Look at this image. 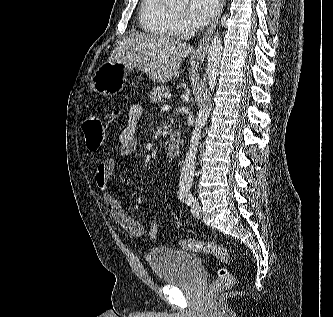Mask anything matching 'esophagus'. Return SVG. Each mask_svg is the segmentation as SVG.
Returning a JSON list of instances; mask_svg holds the SVG:
<instances>
[{"mask_svg":"<svg viewBox=\"0 0 333 317\" xmlns=\"http://www.w3.org/2000/svg\"><path fill=\"white\" fill-rule=\"evenodd\" d=\"M223 5H224V0H219V10L217 13V16L215 17L213 23L211 24V26L207 29V31L205 32L203 38L201 39L196 51L194 52V57H196L197 59H202L205 57L206 53H207V49L209 46V41L211 39V36L216 28V25L219 21V18L222 14V10H223Z\"/></svg>","mask_w":333,"mask_h":317,"instance_id":"esophagus-1","label":"esophagus"}]
</instances>
